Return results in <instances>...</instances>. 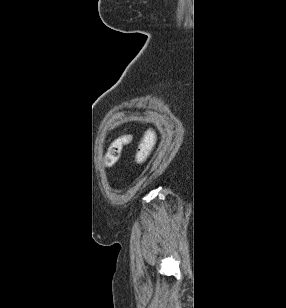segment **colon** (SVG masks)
Listing matches in <instances>:
<instances>
[{"label":"colon","mask_w":286,"mask_h":308,"mask_svg":"<svg viewBox=\"0 0 286 308\" xmlns=\"http://www.w3.org/2000/svg\"><path fill=\"white\" fill-rule=\"evenodd\" d=\"M132 140L131 135L126 134L116 138L110 145L107 154L104 157V166L112 167L114 166L120 158L122 149L127 146ZM153 149V140L145 139L140 144L135 161L138 165H143L151 155Z\"/></svg>","instance_id":"1"}]
</instances>
